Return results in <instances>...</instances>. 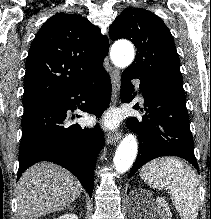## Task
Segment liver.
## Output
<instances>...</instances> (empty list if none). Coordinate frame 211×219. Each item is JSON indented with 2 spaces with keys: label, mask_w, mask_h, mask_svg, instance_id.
I'll return each instance as SVG.
<instances>
[{
  "label": "liver",
  "mask_w": 211,
  "mask_h": 219,
  "mask_svg": "<svg viewBox=\"0 0 211 219\" xmlns=\"http://www.w3.org/2000/svg\"><path fill=\"white\" fill-rule=\"evenodd\" d=\"M81 192V183L66 169L53 163H37L19 179V217L36 219L59 211L74 202Z\"/></svg>",
  "instance_id": "6515ba94"
}]
</instances>
